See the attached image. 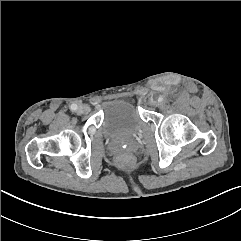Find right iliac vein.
<instances>
[{
	"mask_svg": "<svg viewBox=\"0 0 241 241\" xmlns=\"http://www.w3.org/2000/svg\"><path fill=\"white\" fill-rule=\"evenodd\" d=\"M89 111L88 107L85 105H80L78 108V113L79 114H84L87 113Z\"/></svg>",
	"mask_w": 241,
	"mask_h": 241,
	"instance_id": "obj_1",
	"label": "right iliac vein"
}]
</instances>
